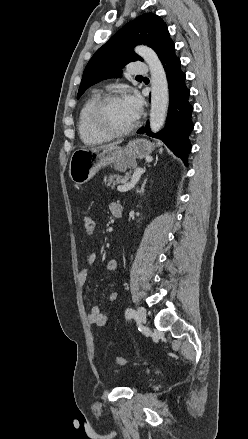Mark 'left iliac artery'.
I'll return each instance as SVG.
<instances>
[{"label": "left iliac artery", "mask_w": 248, "mask_h": 439, "mask_svg": "<svg viewBox=\"0 0 248 439\" xmlns=\"http://www.w3.org/2000/svg\"><path fill=\"white\" fill-rule=\"evenodd\" d=\"M134 314H135V311L132 308H128L125 312V317L127 319H130L134 316Z\"/></svg>", "instance_id": "1"}]
</instances>
